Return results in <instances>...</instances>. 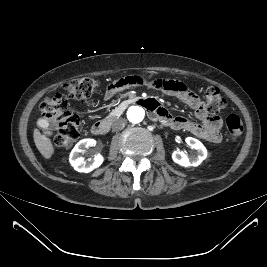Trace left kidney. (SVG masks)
Listing matches in <instances>:
<instances>
[{
  "mask_svg": "<svg viewBox=\"0 0 267 267\" xmlns=\"http://www.w3.org/2000/svg\"><path fill=\"white\" fill-rule=\"evenodd\" d=\"M186 143L195 149L194 156L188 157L183 151H174L172 159L175 163L183 167L198 166L207 158V150L205 146L193 137H187Z\"/></svg>",
  "mask_w": 267,
  "mask_h": 267,
  "instance_id": "obj_1",
  "label": "left kidney"
}]
</instances>
